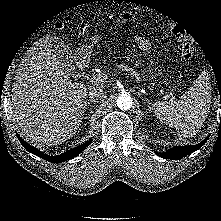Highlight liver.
<instances>
[{
    "label": "liver",
    "instance_id": "obj_1",
    "mask_svg": "<svg viewBox=\"0 0 221 221\" xmlns=\"http://www.w3.org/2000/svg\"><path fill=\"white\" fill-rule=\"evenodd\" d=\"M69 75L49 38L36 42L19 64L12 86L13 117L32 141L57 145L78 130L88 88Z\"/></svg>",
    "mask_w": 221,
    "mask_h": 221
}]
</instances>
